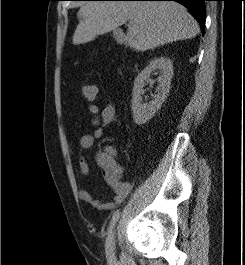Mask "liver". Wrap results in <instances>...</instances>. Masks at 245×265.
Here are the masks:
<instances>
[{"label":"liver","instance_id":"liver-1","mask_svg":"<svg viewBox=\"0 0 245 265\" xmlns=\"http://www.w3.org/2000/svg\"><path fill=\"white\" fill-rule=\"evenodd\" d=\"M73 44L93 41L127 21L125 41L136 51H147L173 41L194 38L200 28L187 9L173 1H89L77 13Z\"/></svg>","mask_w":245,"mask_h":265}]
</instances>
